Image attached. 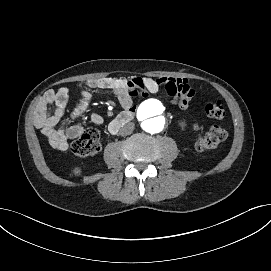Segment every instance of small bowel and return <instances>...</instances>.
<instances>
[{"label": "small bowel", "mask_w": 271, "mask_h": 271, "mask_svg": "<svg viewBox=\"0 0 271 271\" xmlns=\"http://www.w3.org/2000/svg\"><path fill=\"white\" fill-rule=\"evenodd\" d=\"M86 86L87 88L80 90V99L69 114L71 120L78 119L87 112L92 99L90 89L116 95L120 104L128 110L134 107L136 98H146L150 94H156L161 88L169 101L181 109H186L195 95V89L186 79L175 78L103 77L88 79ZM68 100L69 90L66 87L50 89L42 95L35 109L36 127L49 144L58 150H66L69 140L79 137L85 130L81 125L60 127L66 114ZM90 121L98 126L102 124L103 118L97 113H92Z\"/></svg>", "instance_id": "c3829d8e"}]
</instances>
